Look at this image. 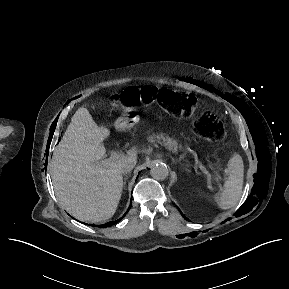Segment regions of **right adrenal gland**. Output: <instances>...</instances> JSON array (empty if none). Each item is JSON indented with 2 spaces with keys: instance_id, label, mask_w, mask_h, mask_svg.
<instances>
[{
  "instance_id": "right-adrenal-gland-1",
  "label": "right adrenal gland",
  "mask_w": 289,
  "mask_h": 289,
  "mask_svg": "<svg viewBox=\"0 0 289 289\" xmlns=\"http://www.w3.org/2000/svg\"><path fill=\"white\" fill-rule=\"evenodd\" d=\"M127 178H128V175L126 174L125 177H124V182H123V187H124V188H125V186H126V180H127Z\"/></svg>"
}]
</instances>
